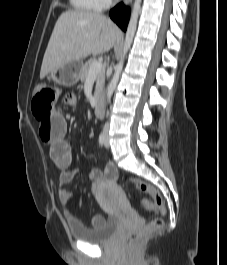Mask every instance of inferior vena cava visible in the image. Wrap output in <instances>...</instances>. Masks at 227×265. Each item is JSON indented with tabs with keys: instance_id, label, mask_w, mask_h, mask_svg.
I'll use <instances>...</instances> for the list:
<instances>
[{
	"instance_id": "obj_1",
	"label": "inferior vena cava",
	"mask_w": 227,
	"mask_h": 265,
	"mask_svg": "<svg viewBox=\"0 0 227 265\" xmlns=\"http://www.w3.org/2000/svg\"><path fill=\"white\" fill-rule=\"evenodd\" d=\"M105 128H108V123L105 124Z\"/></svg>"
}]
</instances>
